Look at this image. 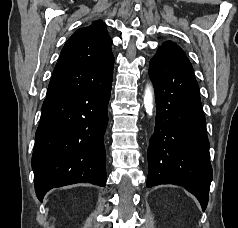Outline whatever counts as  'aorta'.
<instances>
[{"label": "aorta", "instance_id": "obj_1", "mask_svg": "<svg viewBox=\"0 0 238 228\" xmlns=\"http://www.w3.org/2000/svg\"><path fill=\"white\" fill-rule=\"evenodd\" d=\"M144 106L147 113H151L153 109V92L152 86L147 85L144 92Z\"/></svg>", "mask_w": 238, "mask_h": 228}]
</instances>
